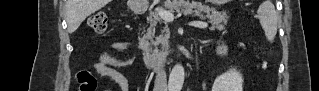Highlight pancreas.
Listing matches in <instances>:
<instances>
[{
	"instance_id": "cf45deb5",
	"label": "pancreas",
	"mask_w": 319,
	"mask_h": 91,
	"mask_svg": "<svg viewBox=\"0 0 319 91\" xmlns=\"http://www.w3.org/2000/svg\"><path fill=\"white\" fill-rule=\"evenodd\" d=\"M176 2V1H172ZM166 8L170 11H176L177 13L190 14L191 12L199 15L200 12H205L206 17L210 20L211 27L210 30H219L222 31L225 29L227 24L228 15L226 12H217L214 9H210L207 6H202L199 3L180 5L177 3H168ZM150 27L147 30V33L143 36L145 43L144 51L147 54H150L157 61L162 58L164 52L168 47V29H163L160 36L155 37V27L158 23L162 22L161 17L158 15L157 10L152 11L149 17ZM155 38V39H154ZM160 46V47H159Z\"/></svg>"
}]
</instances>
